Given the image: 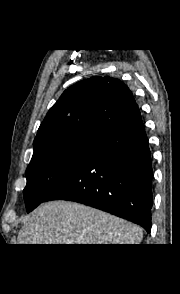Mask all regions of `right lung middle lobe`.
<instances>
[{
    "label": "right lung middle lobe",
    "mask_w": 180,
    "mask_h": 294,
    "mask_svg": "<svg viewBox=\"0 0 180 294\" xmlns=\"http://www.w3.org/2000/svg\"><path fill=\"white\" fill-rule=\"evenodd\" d=\"M98 141L74 139L44 148L33 155L26 170L24 199L32 211L80 166Z\"/></svg>",
    "instance_id": "right-lung-middle-lobe-1"
}]
</instances>
